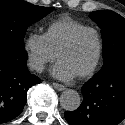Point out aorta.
<instances>
[{"mask_svg":"<svg viewBox=\"0 0 125 125\" xmlns=\"http://www.w3.org/2000/svg\"><path fill=\"white\" fill-rule=\"evenodd\" d=\"M60 104L67 111L76 110L81 104V98L77 91L68 89L60 96Z\"/></svg>","mask_w":125,"mask_h":125,"instance_id":"obj_1","label":"aorta"}]
</instances>
